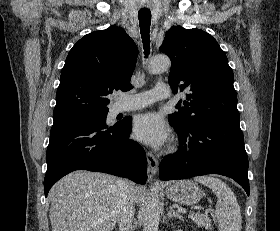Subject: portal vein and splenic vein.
I'll return each mask as SVG.
<instances>
[{
	"label": "portal vein and splenic vein",
	"instance_id": "portal-vein-and-splenic-vein-1",
	"mask_svg": "<svg viewBox=\"0 0 280 231\" xmlns=\"http://www.w3.org/2000/svg\"><path fill=\"white\" fill-rule=\"evenodd\" d=\"M179 211H185V209H179Z\"/></svg>",
	"mask_w": 280,
	"mask_h": 231
}]
</instances>
